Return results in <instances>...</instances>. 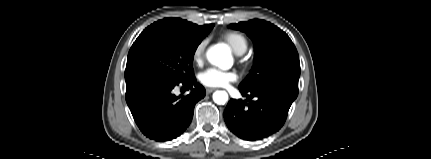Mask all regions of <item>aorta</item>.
Returning a JSON list of instances; mask_svg holds the SVG:
<instances>
[{
    "mask_svg": "<svg viewBox=\"0 0 431 159\" xmlns=\"http://www.w3.org/2000/svg\"><path fill=\"white\" fill-rule=\"evenodd\" d=\"M209 62L220 68H227L231 63L230 50L224 45H215L207 51ZM213 100L216 104L224 105L228 101V94L225 91H216L213 94Z\"/></svg>",
    "mask_w": 431,
    "mask_h": 159,
    "instance_id": "1",
    "label": "aorta"
}]
</instances>
